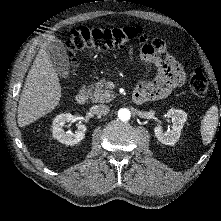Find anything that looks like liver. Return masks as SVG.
Returning <instances> with one entry per match:
<instances>
[{"instance_id":"obj_1","label":"liver","mask_w":221,"mask_h":221,"mask_svg":"<svg viewBox=\"0 0 221 221\" xmlns=\"http://www.w3.org/2000/svg\"><path fill=\"white\" fill-rule=\"evenodd\" d=\"M51 36L41 46L28 72L18 105V125L25 127L54 110L61 99V86L47 52Z\"/></svg>"}]
</instances>
